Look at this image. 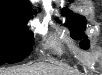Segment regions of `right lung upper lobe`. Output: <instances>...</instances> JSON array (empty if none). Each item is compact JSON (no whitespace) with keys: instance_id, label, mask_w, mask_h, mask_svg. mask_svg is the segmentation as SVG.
Instances as JSON below:
<instances>
[{"instance_id":"right-lung-upper-lobe-1","label":"right lung upper lobe","mask_w":102,"mask_h":75,"mask_svg":"<svg viewBox=\"0 0 102 75\" xmlns=\"http://www.w3.org/2000/svg\"><path fill=\"white\" fill-rule=\"evenodd\" d=\"M29 7L28 0H0V13L30 17Z\"/></svg>"}]
</instances>
